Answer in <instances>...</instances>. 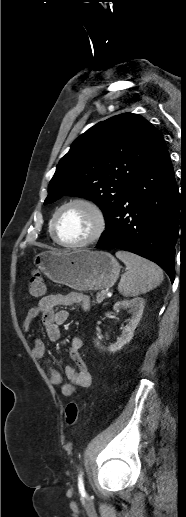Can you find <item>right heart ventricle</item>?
<instances>
[{
	"label": "right heart ventricle",
	"mask_w": 186,
	"mask_h": 517,
	"mask_svg": "<svg viewBox=\"0 0 186 517\" xmlns=\"http://www.w3.org/2000/svg\"><path fill=\"white\" fill-rule=\"evenodd\" d=\"M50 224H51V221H50ZM50 224H49V232H50V234H51ZM51 236H52V234H51Z\"/></svg>",
	"instance_id": "obj_1"
}]
</instances>
